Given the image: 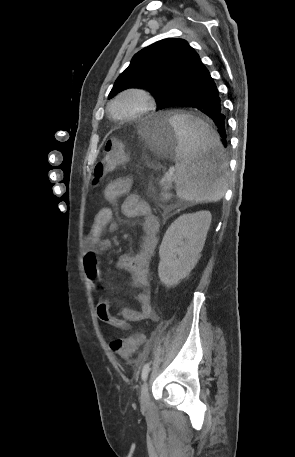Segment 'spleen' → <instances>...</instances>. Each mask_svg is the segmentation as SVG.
<instances>
[{
  "instance_id": "spleen-1",
  "label": "spleen",
  "mask_w": 295,
  "mask_h": 457,
  "mask_svg": "<svg viewBox=\"0 0 295 457\" xmlns=\"http://www.w3.org/2000/svg\"><path fill=\"white\" fill-rule=\"evenodd\" d=\"M170 122L178 138L174 178L177 196L196 203L219 201L227 190V163L219 135L207 123L189 114L173 115ZM209 154H216L214 160L209 159Z\"/></svg>"
}]
</instances>
